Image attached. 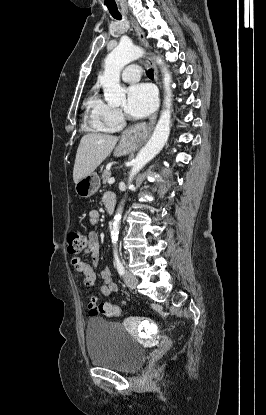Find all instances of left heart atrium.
I'll return each mask as SVG.
<instances>
[{"mask_svg":"<svg viewBox=\"0 0 266 415\" xmlns=\"http://www.w3.org/2000/svg\"><path fill=\"white\" fill-rule=\"evenodd\" d=\"M156 105L157 97L152 86L140 83L128 88L124 109L129 116L143 118L153 112Z\"/></svg>","mask_w":266,"mask_h":415,"instance_id":"left-heart-atrium-1","label":"left heart atrium"}]
</instances>
